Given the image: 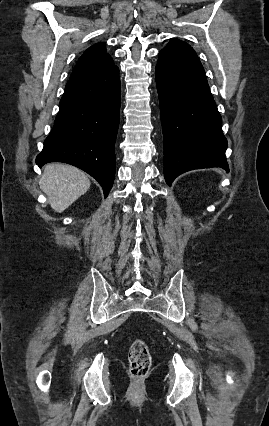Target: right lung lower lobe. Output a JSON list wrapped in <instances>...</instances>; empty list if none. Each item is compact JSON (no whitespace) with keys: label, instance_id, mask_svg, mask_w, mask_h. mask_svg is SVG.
<instances>
[{"label":"right lung lower lobe","instance_id":"1","mask_svg":"<svg viewBox=\"0 0 269 426\" xmlns=\"http://www.w3.org/2000/svg\"><path fill=\"white\" fill-rule=\"evenodd\" d=\"M119 69L70 79L54 127L36 164L64 162L76 166L102 186L107 197L115 177V140L119 127Z\"/></svg>","mask_w":269,"mask_h":426}]
</instances>
